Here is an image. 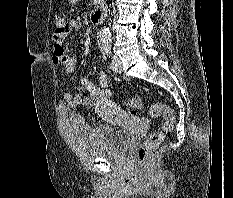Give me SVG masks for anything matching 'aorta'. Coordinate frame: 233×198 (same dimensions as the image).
<instances>
[{
    "instance_id": "obj_1",
    "label": "aorta",
    "mask_w": 233,
    "mask_h": 198,
    "mask_svg": "<svg viewBox=\"0 0 233 198\" xmlns=\"http://www.w3.org/2000/svg\"><path fill=\"white\" fill-rule=\"evenodd\" d=\"M100 40L102 42H108L111 40V33L108 27H104L100 31Z\"/></svg>"
}]
</instances>
